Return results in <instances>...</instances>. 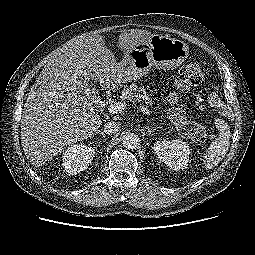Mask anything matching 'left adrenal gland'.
I'll list each match as a JSON object with an SVG mask.
<instances>
[{"label": "left adrenal gland", "instance_id": "left-adrenal-gland-1", "mask_svg": "<svg viewBox=\"0 0 255 255\" xmlns=\"http://www.w3.org/2000/svg\"><path fill=\"white\" fill-rule=\"evenodd\" d=\"M159 127H157V128H154V129H151V128H149V127H146V129H147V132L150 134V133H152V132H154L155 130H157Z\"/></svg>", "mask_w": 255, "mask_h": 255}]
</instances>
